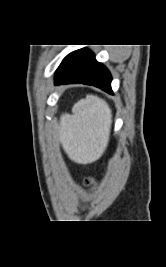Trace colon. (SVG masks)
Wrapping results in <instances>:
<instances>
[{"instance_id":"1","label":"colon","mask_w":166,"mask_h":267,"mask_svg":"<svg viewBox=\"0 0 166 267\" xmlns=\"http://www.w3.org/2000/svg\"><path fill=\"white\" fill-rule=\"evenodd\" d=\"M85 185L87 187L93 188L96 185V180L92 176H88L85 178Z\"/></svg>"}]
</instances>
